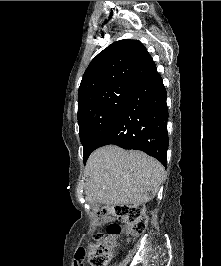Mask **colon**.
Instances as JSON below:
<instances>
[{
  "label": "colon",
  "mask_w": 221,
  "mask_h": 266,
  "mask_svg": "<svg viewBox=\"0 0 221 266\" xmlns=\"http://www.w3.org/2000/svg\"><path fill=\"white\" fill-rule=\"evenodd\" d=\"M103 216H115L126 227L119 224L108 226L107 234H96L86 244L85 260L89 266H106L116 247V238L120 235L137 237L142 235L147 228V217L140 204L117 205L106 208L100 212Z\"/></svg>",
  "instance_id": "obj_1"
}]
</instances>
